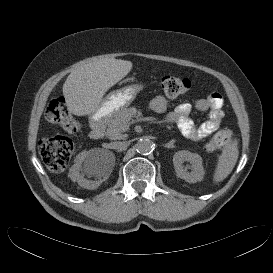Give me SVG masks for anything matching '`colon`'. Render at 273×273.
<instances>
[{
    "instance_id": "obj_1",
    "label": "colon",
    "mask_w": 273,
    "mask_h": 273,
    "mask_svg": "<svg viewBox=\"0 0 273 273\" xmlns=\"http://www.w3.org/2000/svg\"><path fill=\"white\" fill-rule=\"evenodd\" d=\"M159 89L169 97L176 98L184 95L190 88V80L176 76H165L159 81ZM47 119L62 126L70 133L80 130L79 123L68 113L66 101L58 97L50 101L46 110ZM231 139V132L227 129L218 131L205 145L207 151L223 149ZM39 153L45 165L53 172H62L72 156L74 144L65 136L44 138L39 142Z\"/></svg>"
}]
</instances>
